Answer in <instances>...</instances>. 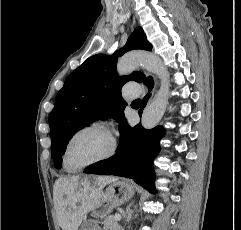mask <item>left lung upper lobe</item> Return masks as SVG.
<instances>
[{
  "label": "left lung upper lobe",
  "mask_w": 241,
  "mask_h": 230,
  "mask_svg": "<svg viewBox=\"0 0 241 230\" xmlns=\"http://www.w3.org/2000/svg\"><path fill=\"white\" fill-rule=\"evenodd\" d=\"M134 49L152 50L141 27L134 30L120 51L111 56L89 57L66 79L49 116L51 154L56 168H61L62 153L78 130L100 119L113 118L119 123L125 119L122 86L130 80L146 81L141 72L121 77L116 74L118 57Z\"/></svg>",
  "instance_id": "obj_1"
}]
</instances>
